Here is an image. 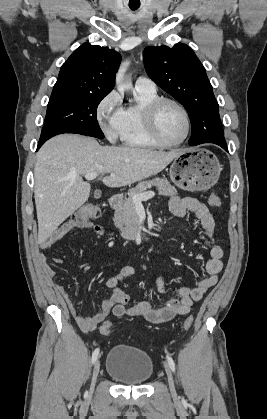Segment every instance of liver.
I'll return each mask as SVG.
<instances>
[{
    "label": "liver",
    "instance_id": "obj_1",
    "mask_svg": "<svg viewBox=\"0 0 267 419\" xmlns=\"http://www.w3.org/2000/svg\"><path fill=\"white\" fill-rule=\"evenodd\" d=\"M183 151L101 146L92 137L75 134L51 138L38 151L34 167L38 243L88 200L91 186L83 175L113 172L114 177L105 176L102 182L122 187L161 172Z\"/></svg>",
    "mask_w": 267,
    "mask_h": 419
}]
</instances>
